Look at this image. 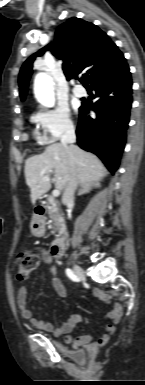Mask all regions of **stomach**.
<instances>
[{
    "label": "stomach",
    "mask_w": 145,
    "mask_h": 385,
    "mask_svg": "<svg viewBox=\"0 0 145 385\" xmlns=\"http://www.w3.org/2000/svg\"><path fill=\"white\" fill-rule=\"evenodd\" d=\"M31 231L34 235H39L40 233L37 232V230L34 228V225H31Z\"/></svg>",
    "instance_id": "stomach-1"
}]
</instances>
